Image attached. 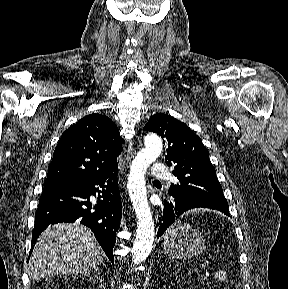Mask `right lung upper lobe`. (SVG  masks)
<instances>
[{"label":"right lung upper lobe","mask_w":288,"mask_h":289,"mask_svg":"<svg viewBox=\"0 0 288 289\" xmlns=\"http://www.w3.org/2000/svg\"><path fill=\"white\" fill-rule=\"evenodd\" d=\"M124 140L115 123L101 114L83 117L58 142L44 187L88 177L117 166Z\"/></svg>","instance_id":"right-lung-upper-lobe-1"}]
</instances>
